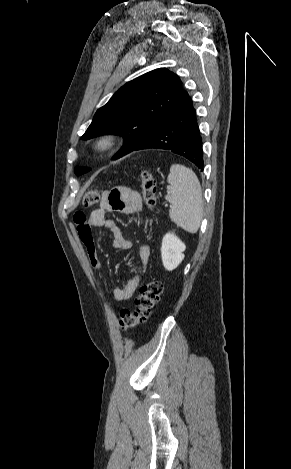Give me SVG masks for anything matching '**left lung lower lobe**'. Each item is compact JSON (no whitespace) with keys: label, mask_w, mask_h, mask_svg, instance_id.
Here are the masks:
<instances>
[{"label":"left lung lower lobe","mask_w":291,"mask_h":469,"mask_svg":"<svg viewBox=\"0 0 291 469\" xmlns=\"http://www.w3.org/2000/svg\"><path fill=\"white\" fill-rule=\"evenodd\" d=\"M148 148L170 150L185 157L199 169H203L202 138L196 111L188 94L128 153Z\"/></svg>","instance_id":"left-lung-lower-lobe-1"}]
</instances>
